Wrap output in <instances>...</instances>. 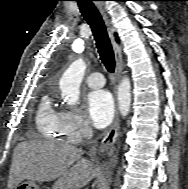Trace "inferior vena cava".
Instances as JSON below:
<instances>
[{
    "label": "inferior vena cava",
    "mask_w": 188,
    "mask_h": 189,
    "mask_svg": "<svg viewBox=\"0 0 188 189\" xmlns=\"http://www.w3.org/2000/svg\"><path fill=\"white\" fill-rule=\"evenodd\" d=\"M83 136L87 139H90L93 136V130L91 127H86L83 130Z\"/></svg>",
    "instance_id": "obj_1"
}]
</instances>
